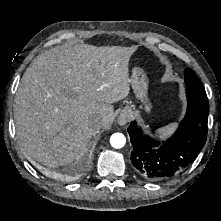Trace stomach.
Segmentation results:
<instances>
[{"mask_svg": "<svg viewBox=\"0 0 221 221\" xmlns=\"http://www.w3.org/2000/svg\"><path fill=\"white\" fill-rule=\"evenodd\" d=\"M130 84L136 98L143 103L145 111L149 112L151 110V104L147 98L148 78L141 68L135 67L132 70ZM132 110H134V106L128 105L122 110L120 117H123L126 113L132 112Z\"/></svg>", "mask_w": 221, "mask_h": 221, "instance_id": "0dacf381", "label": "stomach"}]
</instances>
